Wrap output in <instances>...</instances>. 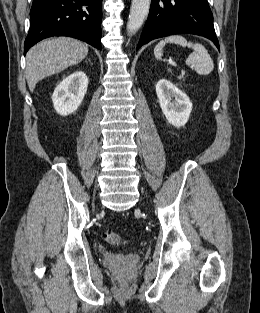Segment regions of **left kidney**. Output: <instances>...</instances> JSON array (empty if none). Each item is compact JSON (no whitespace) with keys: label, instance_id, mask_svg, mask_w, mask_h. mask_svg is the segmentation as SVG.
Listing matches in <instances>:
<instances>
[{"label":"left kidney","instance_id":"left-kidney-1","mask_svg":"<svg viewBox=\"0 0 260 313\" xmlns=\"http://www.w3.org/2000/svg\"><path fill=\"white\" fill-rule=\"evenodd\" d=\"M156 94L168 122L175 127L184 126L192 110L188 96L167 79H160L157 82Z\"/></svg>","mask_w":260,"mask_h":313}]
</instances>
